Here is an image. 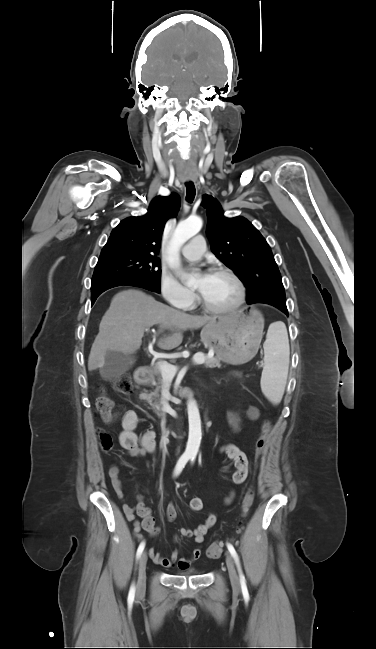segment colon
Instances as JSON below:
<instances>
[{
    "label": "colon",
    "instance_id": "colon-1",
    "mask_svg": "<svg viewBox=\"0 0 376 649\" xmlns=\"http://www.w3.org/2000/svg\"><path fill=\"white\" fill-rule=\"evenodd\" d=\"M113 388L115 391L128 394L132 390V383L128 375L123 374L118 376L113 380ZM96 407L102 418L105 422L110 423L114 419L113 413V402L106 395L101 394L96 399ZM270 431V422L268 420H263L260 424V432L256 441V453L258 456H261L265 450L267 437ZM99 439L103 449L109 450L112 447V438L104 430L99 431ZM255 498V493L250 489L244 496L241 506V516L245 517L248 515ZM223 552V543L215 542L211 544L207 549V555L211 558H218Z\"/></svg>",
    "mask_w": 376,
    "mask_h": 649
}]
</instances>
